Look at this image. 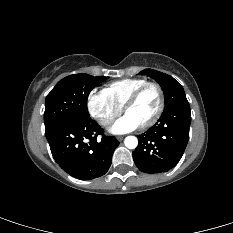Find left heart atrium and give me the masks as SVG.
Returning <instances> with one entry per match:
<instances>
[{
  "mask_svg": "<svg viewBox=\"0 0 233 233\" xmlns=\"http://www.w3.org/2000/svg\"><path fill=\"white\" fill-rule=\"evenodd\" d=\"M140 125V122L133 115L125 113L112 124L110 132L113 134H124L137 129Z\"/></svg>",
  "mask_w": 233,
  "mask_h": 233,
  "instance_id": "39dd6f15",
  "label": "left heart atrium"
}]
</instances>
